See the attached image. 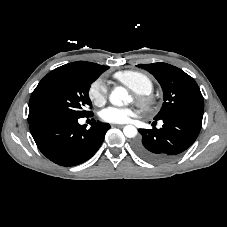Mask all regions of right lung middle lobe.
<instances>
[{
    "label": "right lung middle lobe",
    "mask_w": 227,
    "mask_h": 227,
    "mask_svg": "<svg viewBox=\"0 0 227 227\" xmlns=\"http://www.w3.org/2000/svg\"><path fill=\"white\" fill-rule=\"evenodd\" d=\"M108 66L98 69L63 65L48 73L33 91L29 101L28 122L47 117L82 118L92 114L85 110L92 103L90 84Z\"/></svg>",
    "instance_id": "right-lung-middle-lobe-1"
}]
</instances>
